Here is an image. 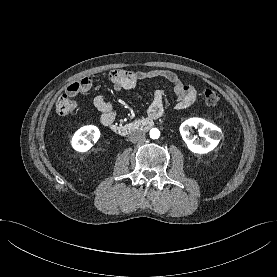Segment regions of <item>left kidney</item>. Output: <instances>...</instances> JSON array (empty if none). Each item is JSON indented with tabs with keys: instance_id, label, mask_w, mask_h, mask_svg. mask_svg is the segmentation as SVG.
<instances>
[{
	"instance_id": "5707ae66",
	"label": "left kidney",
	"mask_w": 277,
	"mask_h": 277,
	"mask_svg": "<svg viewBox=\"0 0 277 277\" xmlns=\"http://www.w3.org/2000/svg\"><path fill=\"white\" fill-rule=\"evenodd\" d=\"M192 127L198 128L199 135L203 137L201 142L195 140L190 134L189 130ZM180 133L188 149L197 154H205L212 151L218 145L222 136L219 127L197 117L184 121L180 125Z\"/></svg>"
}]
</instances>
